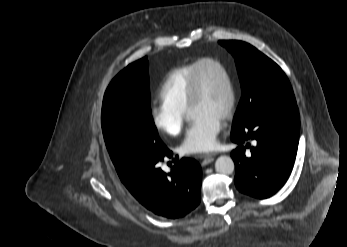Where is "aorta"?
Here are the masks:
<instances>
[{"label":"aorta","mask_w":347,"mask_h":247,"mask_svg":"<svg viewBox=\"0 0 347 247\" xmlns=\"http://www.w3.org/2000/svg\"><path fill=\"white\" fill-rule=\"evenodd\" d=\"M235 165L231 157L229 156H220L215 162V169L218 173L223 175L232 174L234 171Z\"/></svg>","instance_id":"1"}]
</instances>
